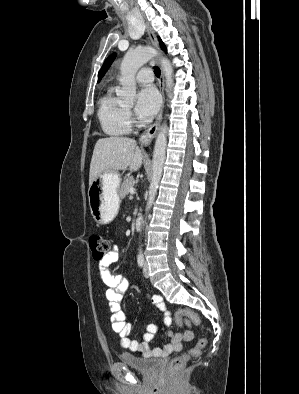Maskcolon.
<instances>
[{
	"label": "colon",
	"mask_w": 299,
	"mask_h": 394,
	"mask_svg": "<svg viewBox=\"0 0 299 394\" xmlns=\"http://www.w3.org/2000/svg\"><path fill=\"white\" fill-rule=\"evenodd\" d=\"M89 246L95 260H102L108 254L111 243L110 241L101 234L94 233L89 237ZM177 320H181L183 317L191 319L195 323H199V317L192 311L179 310L176 313ZM207 346V340L200 338L197 343L191 347L186 353L177 356L171 360L168 365L170 372H176L182 368L189 360L200 356L202 350Z\"/></svg>",
	"instance_id": "colon-1"
}]
</instances>
